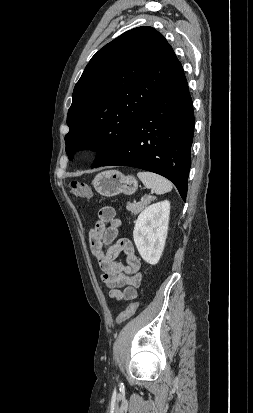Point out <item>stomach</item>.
<instances>
[{
    "mask_svg": "<svg viewBox=\"0 0 253 413\" xmlns=\"http://www.w3.org/2000/svg\"><path fill=\"white\" fill-rule=\"evenodd\" d=\"M92 184L95 190L105 197H113L121 193L131 195L138 188V181L134 176H126L117 170H108L97 174Z\"/></svg>",
    "mask_w": 253,
    "mask_h": 413,
    "instance_id": "stomach-1",
    "label": "stomach"
}]
</instances>
